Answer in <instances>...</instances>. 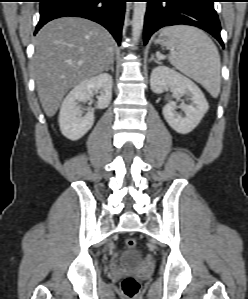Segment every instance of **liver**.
I'll return each instance as SVG.
<instances>
[{"instance_id":"liver-1","label":"liver","mask_w":248,"mask_h":299,"mask_svg":"<svg viewBox=\"0 0 248 299\" xmlns=\"http://www.w3.org/2000/svg\"><path fill=\"white\" fill-rule=\"evenodd\" d=\"M113 59L114 40L101 25L77 17L47 23L36 36L32 60L46 115L52 117L71 88L105 71Z\"/></svg>"}]
</instances>
